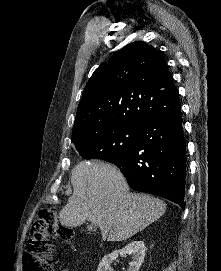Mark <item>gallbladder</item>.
I'll return each mask as SVG.
<instances>
[{
  "label": "gallbladder",
  "instance_id": "1",
  "mask_svg": "<svg viewBox=\"0 0 221 271\" xmlns=\"http://www.w3.org/2000/svg\"><path fill=\"white\" fill-rule=\"evenodd\" d=\"M97 225H94V223H91V225H87V231H96Z\"/></svg>",
  "mask_w": 221,
  "mask_h": 271
}]
</instances>
